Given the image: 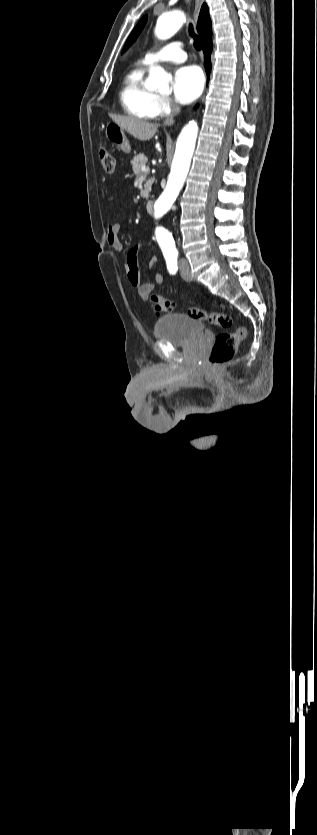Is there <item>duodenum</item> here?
<instances>
[{"mask_svg":"<svg viewBox=\"0 0 317 835\" xmlns=\"http://www.w3.org/2000/svg\"><path fill=\"white\" fill-rule=\"evenodd\" d=\"M153 207H154V201H152V200L147 201V203H146V211H147L148 213H152V212H153Z\"/></svg>","mask_w":317,"mask_h":835,"instance_id":"duodenum-1","label":"duodenum"}]
</instances>
